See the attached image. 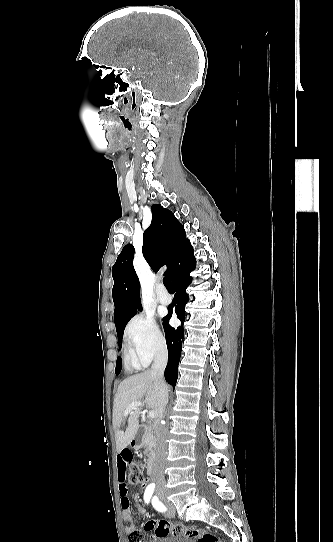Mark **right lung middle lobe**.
I'll return each instance as SVG.
<instances>
[{
  "label": "right lung middle lobe",
  "instance_id": "1",
  "mask_svg": "<svg viewBox=\"0 0 333 542\" xmlns=\"http://www.w3.org/2000/svg\"><path fill=\"white\" fill-rule=\"evenodd\" d=\"M141 310V309H140ZM137 312H134L132 314H129L127 316H125L124 318H122L120 321L118 322H115V325H116V331H117V336H118V344H119V348H121V343H122V337H123V332H124V328L127 324V322L136 314ZM121 368H122V360L120 357L117 358V362H116V369H115V373L118 375L121 371Z\"/></svg>",
  "mask_w": 333,
  "mask_h": 542
}]
</instances>
